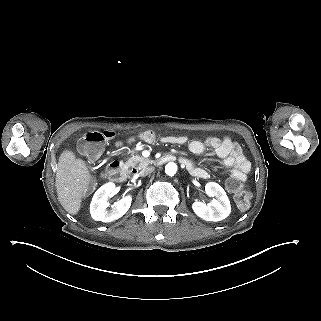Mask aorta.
Listing matches in <instances>:
<instances>
[{
  "label": "aorta",
  "mask_w": 321,
  "mask_h": 321,
  "mask_svg": "<svg viewBox=\"0 0 321 321\" xmlns=\"http://www.w3.org/2000/svg\"><path fill=\"white\" fill-rule=\"evenodd\" d=\"M177 172V165L174 162H170L165 166V173L168 176H174Z\"/></svg>",
  "instance_id": "762f6f07"
}]
</instances>
